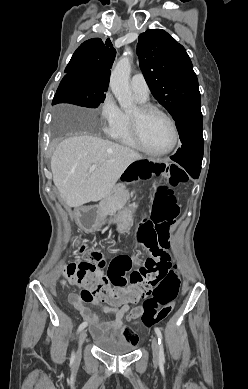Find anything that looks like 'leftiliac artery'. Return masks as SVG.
I'll list each match as a JSON object with an SVG mask.
<instances>
[{
  "mask_svg": "<svg viewBox=\"0 0 248 389\" xmlns=\"http://www.w3.org/2000/svg\"><path fill=\"white\" fill-rule=\"evenodd\" d=\"M154 330H155V333L158 337V343L160 345L159 359H160V361H165L164 349H163V344H162V333L158 327H155Z\"/></svg>",
  "mask_w": 248,
  "mask_h": 389,
  "instance_id": "obj_1",
  "label": "left iliac artery"
}]
</instances>
